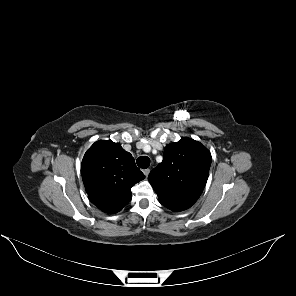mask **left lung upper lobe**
<instances>
[{
  "label": "left lung upper lobe",
  "instance_id": "obj_1",
  "mask_svg": "<svg viewBox=\"0 0 296 296\" xmlns=\"http://www.w3.org/2000/svg\"><path fill=\"white\" fill-rule=\"evenodd\" d=\"M210 165L211 154L201 143L182 138L165 147L162 163L150 172L148 179L159 202L180 212L190 208L203 192Z\"/></svg>",
  "mask_w": 296,
  "mask_h": 296
}]
</instances>
